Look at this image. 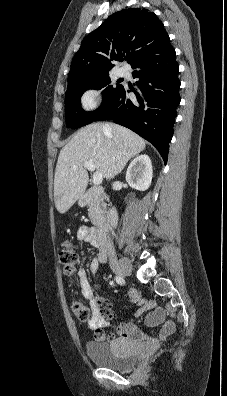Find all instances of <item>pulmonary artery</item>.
<instances>
[{
    "mask_svg": "<svg viewBox=\"0 0 227 396\" xmlns=\"http://www.w3.org/2000/svg\"><path fill=\"white\" fill-rule=\"evenodd\" d=\"M117 75L119 77H124L126 75V71L123 68L118 69Z\"/></svg>",
    "mask_w": 227,
    "mask_h": 396,
    "instance_id": "e3ab8cb5",
    "label": "pulmonary artery"
}]
</instances>
